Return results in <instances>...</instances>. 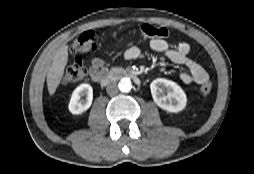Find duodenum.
I'll return each instance as SVG.
<instances>
[{
	"instance_id": "1",
	"label": "duodenum",
	"mask_w": 254,
	"mask_h": 174,
	"mask_svg": "<svg viewBox=\"0 0 254 174\" xmlns=\"http://www.w3.org/2000/svg\"><path fill=\"white\" fill-rule=\"evenodd\" d=\"M121 78H128L132 80L135 84L137 85L140 84V79L137 77L135 73H133L132 71L122 69H114L108 75L105 74L102 75L99 78V82L102 86H106L107 84H109L110 81Z\"/></svg>"
}]
</instances>
